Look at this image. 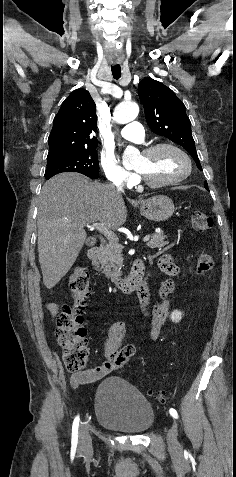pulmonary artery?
<instances>
[{"label": "pulmonary artery", "instance_id": "1", "mask_svg": "<svg viewBox=\"0 0 236 477\" xmlns=\"http://www.w3.org/2000/svg\"><path fill=\"white\" fill-rule=\"evenodd\" d=\"M119 133L123 138L136 142H142L145 136L142 125L136 121L123 126Z\"/></svg>", "mask_w": 236, "mask_h": 477}]
</instances>
